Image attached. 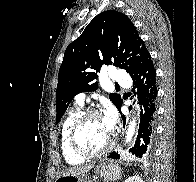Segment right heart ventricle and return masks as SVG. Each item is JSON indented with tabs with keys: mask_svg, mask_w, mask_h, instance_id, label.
Listing matches in <instances>:
<instances>
[{
	"mask_svg": "<svg viewBox=\"0 0 196 182\" xmlns=\"http://www.w3.org/2000/svg\"><path fill=\"white\" fill-rule=\"evenodd\" d=\"M83 112L82 104H77L64 118L60 130V145L65 161L70 165H80L84 158L75 154L69 146V132L77 117Z\"/></svg>",
	"mask_w": 196,
	"mask_h": 182,
	"instance_id": "e07e8e85",
	"label": "right heart ventricle"
}]
</instances>
